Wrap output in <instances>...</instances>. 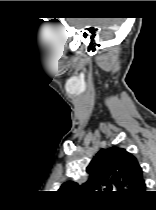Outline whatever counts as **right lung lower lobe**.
I'll list each match as a JSON object with an SVG mask.
<instances>
[{
	"label": "right lung lower lobe",
	"mask_w": 156,
	"mask_h": 210,
	"mask_svg": "<svg viewBox=\"0 0 156 210\" xmlns=\"http://www.w3.org/2000/svg\"><path fill=\"white\" fill-rule=\"evenodd\" d=\"M142 194H144V192H143ZM142 194H141V195H139L138 197H136V198L132 199V200H137V199H139V198L142 196Z\"/></svg>",
	"instance_id": "right-lung-lower-lobe-1"
}]
</instances>
